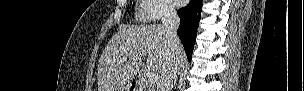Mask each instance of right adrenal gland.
I'll return each mask as SVG.
<instances>
[{
    "instance_id": "obj_1",
    "label": "right adrenal gland",
    "mask_w": 304,
    "mask_h": 91,
    "mask_svg": "<svg viewBox=\"0 0 304 91\" xmlns=\"http://www.w3.org/2000/svg\"><path fill=\"white\" fill-rule=\"evenodd\" d=\"M176 82H177V79H175V81H174V85H176Z\"/></svg>"
}]
</instances>
